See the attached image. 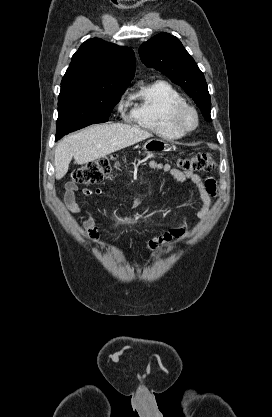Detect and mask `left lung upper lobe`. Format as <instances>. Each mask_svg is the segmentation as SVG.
Returning a JSON list of instances; mask_svg holds the SVG:
<instances>
[{
	"label": "left lung upper lobe",
	"instance_id": "5c2ea615",
	"mask_svg": "<svg viewBox=\"0 0 272 417\" xmlns=\"http://www.w3.org/2000/svg\"><path fill=\"white\" fill-rule=\"evenodd\" d=\"M142 62L181 86L200 108L207 121H211V100L204 74L191 55L175 36L160 33L144 42L139 48Z\"/></svg>",
	"mask_w": 272,
	"mask_h": 417
}]
</instances>
